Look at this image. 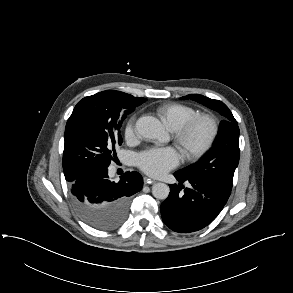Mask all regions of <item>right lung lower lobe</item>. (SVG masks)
<instances>
[{
  "instance_id": "right-lung-lower-lobe-1",
  "label": "right lung lower lobe",
  "mask_w": 293,
  "mask_h": 293,
  "mask_svg": "<svg viewBox=\"0 0 293 293\" xmlns=\"http://www.w3.org/2000/svg\"><path fill=\"white\" fill-rule=\"evenodd\" d=\"M69 184L79 212L97 216L118 214L124 221L130 196L142 189L143 179L136 172H126L119 181H113L107 167H97L82 173Z\"/></svg>"
}]
</instances>
